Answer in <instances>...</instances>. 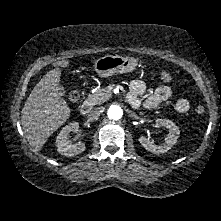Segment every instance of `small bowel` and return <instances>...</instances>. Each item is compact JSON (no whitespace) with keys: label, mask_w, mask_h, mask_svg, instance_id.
Instances as JSON below:
<instances>
[{"label":"small bowel","mask_w":221,"mask_h":221,"mask_svg":"<svg viewBox=\"0 0 221 221\" xmlns=\"http://www.w3.org/2000/svg\"><path fill=\"white\" fill-rule=\"evenodd\" d=\"M162 72L161 75H163ZM146 91V85L141 80H134L130 83V94L129 103L136 109H153L156 108L160 103L168 100L172 95L171 87L163 85L158 87L155 92L146 98L141 100L140 96L143 95ZM175 108L178 112L184 113L187 112L190 108L189 101L185 98H180L175 104Z\"/></svg>","instance_id":"obj_1"}]
</instances>
